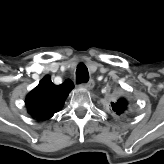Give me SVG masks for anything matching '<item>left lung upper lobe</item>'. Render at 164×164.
I'll return each instance as SVG.
<instances>
[{
	"label": "left lung upper lobe",
	"instance_id": "1",
	"mask_svg": "<svg viewBox=\"0 0 164 164\" xmlns=\"http://www.w3.org/2000/svg\"><path fill=\"white\" fill-rule=\"evenodd\" d=\"M113 110L118 114H122L127 109V101L124 98L119 99L116 103H111Z\"/></svg>",
	"mask_w": 164,
	"mask_h": 164
}]
</instances>
